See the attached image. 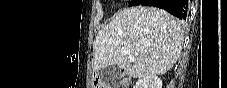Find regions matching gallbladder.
Masks as SVG:
<instances>
[{
  "label": "gallbladder",
  "instance_id": "bac80fb5",
  "mask_svg": "<svg viewBox=\"0 0 227 88\" xmlns=\"http://www.w3.org/2000/svg\"><path fill=\"white\" fill-rule=\"evenodd\" d=\"M120 70L117 66L111 65L101 71L102 82L109 88H114L120 82Z\"/></svg>",
  "mask_w": 227,
  "mask_h": 88
}]
</instances>
